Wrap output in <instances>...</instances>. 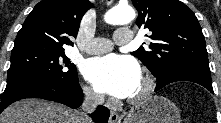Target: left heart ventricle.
Listing matches in <instances>:
<instances>
[{
  "mask_svg": "<svg viewBox=\"0 0 221 123\" xmlns=\"http://www.w3.org/2000/svg\"><path fill=\"white\" fill-rule=\"evenodd\" d=\"M141 88V81L138 82V84L136 85V87L134 88L132 94L130 96L135 95Z\"/></svg>",
  "mask_w": 221,
  "mask_h": 123,
  "instance_id": "b2bd125f",
  "label": "left heart ventricle"
}]
</instances>
